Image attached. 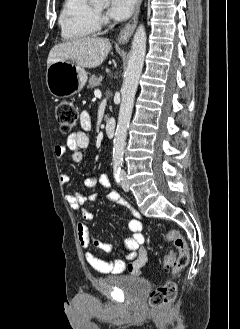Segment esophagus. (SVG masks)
<instances>
[{"label":"esophagus","mask_w":240,"mask_h":329,"mask_svg":"<svg viewBox=\"0 0 240 329\" xmlns=\"http://www.w3.org/2000/svg\"><path fill=\"white\" fill-rule=\"evenodd\" d=\"M142 0H136L135 8H134V13L130 21L125 25V27L120 31L118 35V41L121 44H124L128 42L130 39L131 35L133 34L137 22H138V17L140 13V6H141Z\"/></svg>","instance_id":"obj_1"}]
</instances>
